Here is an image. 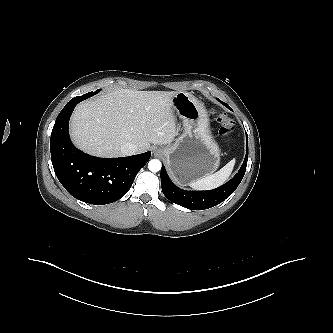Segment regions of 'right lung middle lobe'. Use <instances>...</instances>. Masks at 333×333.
Returning a JSON list of instances; mask_svg holds the SVG:
<instances>
[{
	"label": "right lung middle lobe",
	"mask_w": 333,
	"mask_h": 333,
	"mask_svg": "<svg viewBox=\"0 0 333 333\" xmlns=\"http://www.w3.org/2000/svg\"><path fill=\"white\" fill-rule=\"evenodd\" d=\"M99 91H100V89L96 90L95 92H89V93L84 94V95H82V96L75 97V98H73L72 100H80V101H82V100H85V99H87V98H89V97H92L93 95L97 94ZM72 100H70V101H72ZM70 101H69V102H70Z\"/></svg>",
	"instance_id": "obj_1"
}]
</instances>
